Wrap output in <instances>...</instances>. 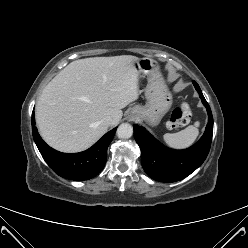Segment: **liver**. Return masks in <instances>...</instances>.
<instances>
[{
  "label": "liver",
  "mask_w": 248,
  "mask_h": 248,
  "mask_svg": "<svg viewBox=\"0 0 248 248\" xmlns=\"http://www.w3.org/2000/svg\"><path fill=\"white\" fill-rule=\"evenodd\" d=\"M132 55L75 60L44 88L36 105V123L42 138L62 152H80L98 141L122 110L139 97V72Z\"/></svg>",
  "instance_id": "liver-1"
}]
</instances>
